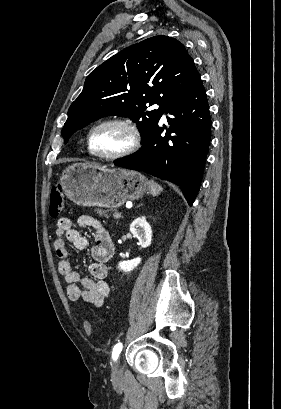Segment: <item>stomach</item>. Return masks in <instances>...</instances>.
Listing matches in <instances>:
<instances>
[{"label":"stomach","mask_w":281,"mask_h":409,"mask_svg":"<svg viewBox=\"0 0 281 409\" xmlns=\"http://www.w3.org/2000/svg\"><path fill=\"white\" fill-rule=\"evenodd\" d=\"M64 194L80 207L116 209L126 200L140 198L148 180L137 170L105 168L98 162H73L59 180Z\"/></svg>","instance_id":"0dacf381"}]
</instances>
